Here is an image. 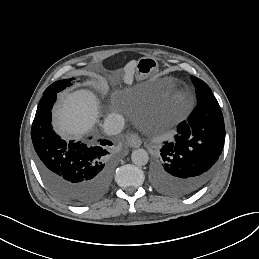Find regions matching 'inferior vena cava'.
I'll use <instances>...</instances> for the list:
<instances>
[{
  "label": "inferior vena cava",
  "instance_id": "1",
  "mask_svg": "<svg viewBox=\"0 0 259 259\" xmlns=\"http://www.w3.org/2000/svg\"><path fill=\"white\" fill-rule=\"evenodd\" d=\"M124 124L125 121L122 115L111 113L106 117L103 128L107 135H117L122 131Z\"/></svg>",
  "mask_w": 259,
  "mask_h": 259
}]
</instances>
